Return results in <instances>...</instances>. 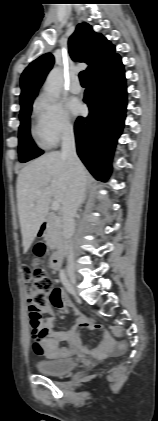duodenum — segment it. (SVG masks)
I'll return each mask as SVG.
<instances>
[{
    "label": "duodenum",
    "instance_id": "duodenum-1",
    "mask_svg": "<svg viewBox=\"0 0 158 421\" xmlns=\"http://www.w3.org/2000/svg\"><path fill=\"white\" fill-rule=\"evenodd\" d=\"M47 222L44 221L40 226V233L43 234L46 230ZM64 258V250L58 249L51 257L50 265L53 270H59Z\"/></svg>",
    "mask_w": 158,
    "mask_h": 421
}]
</instances>
